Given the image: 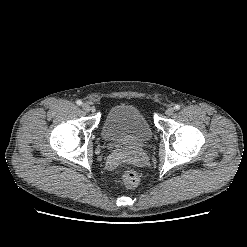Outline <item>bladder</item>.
Instances as JSON below:
<instances>
[{
	"label": "bladder",
	"mask_w": 247,
	"mask_h": 247,
	"mask_svg": "<svg viewBox=\"0 0 247 247\" xmlns=\"http://www.w3.org/2000/svg\"><path fill=\"white\" fill-rule=\"evenodd\" d=\"M101 134L103 139L113 146L132 149L149 142L153 132L138 108L120 104L112 107L106 114Z\"/></svg>",
	"instance_id": "31cf9c89"
}]
</instances>
